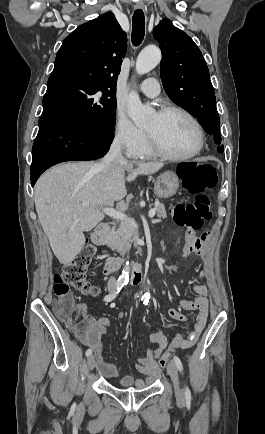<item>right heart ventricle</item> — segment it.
<instances>
[{
    "instance_id": "e07e8e85",
    "label": "right heart ventricle",
    "mask_w": 265,
    "mask_h": 434,
    "mask_svg": "<svg viewBox=\"0 0 265 434\" xmlns=\"http://www.w3.org/2000/svg\"><path fill=\"white\" fill-rule=\"evenodd\" d=\"M154 156L153 152L150 149L149 143L145 146L143 151H140L139 154H133V158L138 160H148Z\"/></svg>"
}]
</instances>
